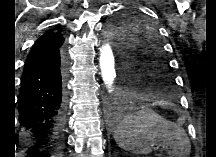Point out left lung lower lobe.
<instances>
[{"label": "left lung lower lobe", "mask_w": 216, "mask_h": 157, "mask_svg": "<svg viewBox=\"0 0 216 157\" xmlns=\"http://www.w3.org/2000/svg\"><path fill=\"white\" fill-rule=\"evenodd\" d=\"M124 74L122 73V82H121V90L123 94L130 93L128 85L125 82ZM118 105L113 104L111 108V118L113 121H118L122 118V111L117 107Z\"/></svg>", "instance_id": "0a47b994"}]
</instances>
